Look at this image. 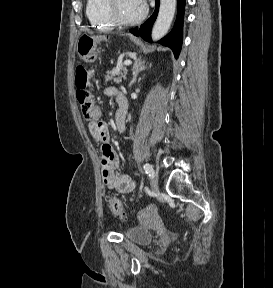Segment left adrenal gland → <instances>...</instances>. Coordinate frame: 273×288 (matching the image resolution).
<instances>
[{"mask_svg":"<svg viewBox=\"0 0 273 288\" xmlns=\"http://www.w3.org/2000/svg\"><path fill=\"white\" fill-rule=\"evenodd\" d=\"M145 69H146L145 61H141V60L135 61L133 68H132L133 78L129 84V87H131L136 82L138 74Z\"/></svg>","mask_w":273,"mask_h":288,"instance_id":"1","label":"left adrenal gland"}]
</instances>
